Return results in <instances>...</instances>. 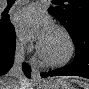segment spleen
<instances>
[{
  "label": "spleen",
  "mask_w": 89,
  "mask_h": 89,
  "mask_svg": "<svg viewBox=\"0 0 89 89\" xmlns=\"http://www.w3.org/2000/svg\"><path fill=\"white\" fill-rule=\"evenodd\" d=\"M82 87H83V89H88L89 85L87 83H82Z\"/></svg>",
  "instance_id": "3e777b00"
}]
</instances>
